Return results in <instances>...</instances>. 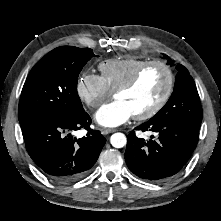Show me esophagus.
Masks as SVG:
<instances>
[{"label": "esophagus", "instance_id": "esophagus-1", "mask_svg": "<svg viewBox=\"0 0 221 221\" xmlns=\"http://www.w3.org/2000/svg\"><path fill=\"white\" fill-rule=\"evenodd\" d=\"M115 131H116V129L106 128V129H102V130H101V133H102L103 135H107V134L113 133V132H115Z\"/></svg>", "mask_w": 221, "mask_h": 221}]
</instances>
